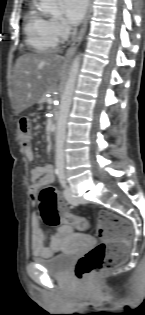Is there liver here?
I'll list each match as a JSON object with an SVG mask.
<instances>
[{
	"mask_svg": "<svg viewBox=\"0 0 145 315\" xmlns=\"http://www.w3.org/2000/svg\"><path fill=\"white\" fill-rule=\"evenodd\" d=\"M66 62L53 52L26 53L14 68L12 107L16 115L41 100L47 91L57 88Z\"/></svg>",
	"mask_w": 145,
	"mask_h": 315,
	"instance_id": "6515ba94",
	"label": "liver"
}]
</instances>
